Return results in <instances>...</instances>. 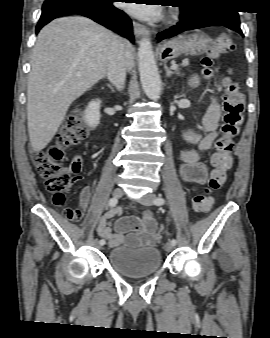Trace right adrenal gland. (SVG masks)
<instances>
[{"mask_svg":"<svg viewBox=\"0 0 270 338\" xmlns=\"http://www.w3.org/2000/svg\"><path fill=\"white\" fill-rule=\"evenodd\" d=\"M108 87L111 89V91L114 93L115 92V89L114 87L111 85V84H108Z\"/></svg>","mask_w":270,"mask_h":338,"instance_id":"obj_1","label":"right adrenal gland"}]
</instances>
